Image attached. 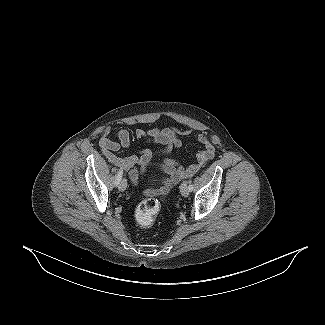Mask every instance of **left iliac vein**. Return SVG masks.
<instances>
[{
  "label": "left iliac vein",
  "mask_w": 325,
  "mask_h": 325,
  "mask_svg": "<svg viewBox=\"0 0 325 325\" xmlns=\"http://www.w3.org/2000/svg\"><path fill=\"white\" fill-rule=\"evenodd\" d=\"M180 192L182 194V196L184 197H187L189 195V188H188V185H187V182L184 181L181 186H180Z\"/></svg>",
  "instance_id": "obj_1"
}]
</instances>
